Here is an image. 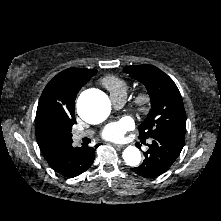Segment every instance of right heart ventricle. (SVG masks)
<instances>
[{"instance_id": "right-heart-ventricle-1", "label": "right heart ventricle", "mask_w": 221, "mask_h": 221, "mask_svg": "<svg viewBox=\"0 0 221 221\" xmlns=\"http://www.w3.org/2000/svg\"><path fill=\"white\" fill-rule=\"evenodd\" d=\"M101 82L105 86V88L110 91L111 96L117 94H127V90L129 87L128 83L120 77L106 76L102 79Z\"/></svg>"}]
</instances>
